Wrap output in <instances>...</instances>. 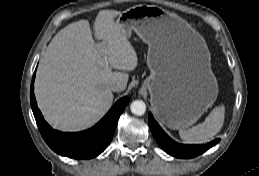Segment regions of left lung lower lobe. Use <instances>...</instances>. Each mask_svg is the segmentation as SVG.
Masks as SVG:
<instances>
[{
	"label": "left lung lower lobe",
	"mask_w": 259,
	"mask_h": 176,
	"mask_svg": "<svg viewBox=\"0 0 259 176\" xmlns=\"http://www.w3.org/2000/svg\"><path fill=\"white\" fill-rule=\"evenodd\" d=\"M148 123L155 140L161 146V148L168 154L177 158L196 157L204 153L220 141V139H216L212 142L201 145L178 144L177 142L169 138L168 135L160 128L151 113H149L148 115Z\"/></svg>",
	"instance_id": "obj_1"
}]
</instances>
